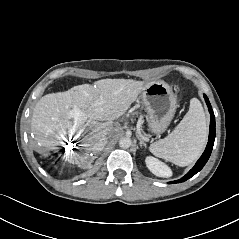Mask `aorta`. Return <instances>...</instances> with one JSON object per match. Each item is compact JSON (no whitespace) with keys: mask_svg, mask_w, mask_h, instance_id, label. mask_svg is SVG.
I'll use <instances>...</instances> for the list:
<instances>
[{"mask_svg":"<svg viewBox=\"0 0 239 239\" xmlns=\"http://www.w3.org/2000/svg\"><path fill=\"white\" fill-rule=\"evenodd\" d=\"M131 139L129 137H122L119 140V146L123 149H127L131 146Z\"/></svg>","mask_w":239,"mask_h":239,"instance_id":"aorta-1","label":"aorta"}]
</instances>
